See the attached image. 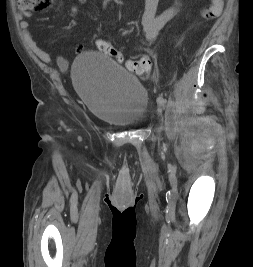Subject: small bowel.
<instances>
[{"mask_svg":"<svg viewBox=\"0 0 253 267\" xmlns=\"http://www.w3.org/2000/svg\"><path fill=\"white\" fill-rule=\"evenodd\" d=\"M76 1L77 4L71 7V13L73 14L79 13L81 6L86 4L88 0H76ZM158 4L159 0H146L145 10L141 18V24L145 32L146 38L148 40L155 39L158 36L161 29L165 26V24L168 23L170 20H172L175 16H177L181 9V3L179 2V0H175V3L172 7L158 14L157 13ZM20 27L22 30L23 38L26 44L29 46V48L41 60L49 62L51 60L50 55L42 48H40L32 38L30 32V24L27 21H22L20 23ZM83 50H84L83 45L79 44L77 46V52L80 53ZM58 62L62 66L66 64V61L61 57L58 58Z\"/></svg>","mask_w":253,"mask_h":267,"instance_id":"small-bowel-1","label":"small bowel"}]
</instances>
